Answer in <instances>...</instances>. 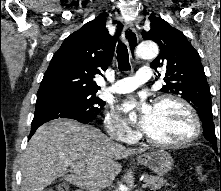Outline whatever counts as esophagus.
I'll list each match as a JSON object with an SVG mask.
<instances>
[{
  "label": "esophagus",
  "mask_w": 221,
  "mask_h": 191,
  "mask_svg": "<svg viewBox=\"0 0 221 191\" xmlns=\"http://www.w3.org/2000/svg\"><path fill=\"white\" fill-rule=\"evenodd\" d=\"M123 38L126 44L128 45L131 55L135 52L136 46L138 44V35L135 27L132 23H127L123 29Z\"/></svg>",
  "instance_id": "1"
}]
</instances>
